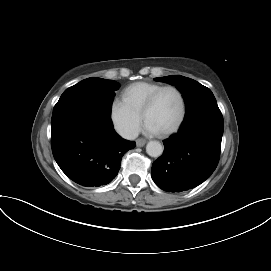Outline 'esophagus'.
Returning a JSON list of instances; mask_svg holds the SVG:
<instances>
[{"instance_id": "1", "label": "esophagus", "mask_w": 271, "mask_h": 271, "mask_svg": "<svg viewBox=\"0 0 271 271\" xmlns=\"http://www.w3.org/2000/svg\"><path fill=\"white\" fill-rule=\"evenodd\" d=\"M146 144V140L145 139H137L136 140V145L138 146V147H142V146H144Z\"/></svg>"}]
</instances>
